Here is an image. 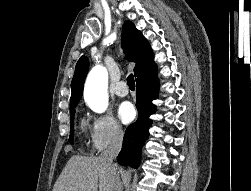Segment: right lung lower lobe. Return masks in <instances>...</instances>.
<instances>
[{
  "label": "right lung lower lobe",
  "mask_w": 251,
  "mask_h": 191,
  "mask_svg": "<svg viewBox=\"0 0 251 191\" xmlns=\"http://www.w3.org/2000/svg\"><path fill=\"white\" fill-rule=\"evenodd\" d=\"M159 91V81L156 76L137 83L136 107L138 119L131 124L125 132L122 149L117 157L119 164L137 168L140 163L141 147L149 135L152 121L148 116L155 113L156 107L152 100L156 99Z\"/></svg>",
  "instance_id": "1"
}]
</instances>
